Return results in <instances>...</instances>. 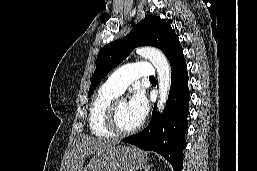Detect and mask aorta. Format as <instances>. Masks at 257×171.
I'll use <instances>...</instances> for the list:
<instances>
[{"mask_svg":"<svg viewBox=\"0 0 257 171\" xmlns=\"http://www.w3.org/2000/svg\"><path fill=\"white\" fill-rule=\"evenodd\" d=\"M136 53L148 59L156 68L159 81L158 110L163 111L169 96L171 86V69L166 56L153 47H141Z\"/></svg>","mask_w":257,"mask_h":171,"instance_id":"1","label":"aorta"}]
</instances>
